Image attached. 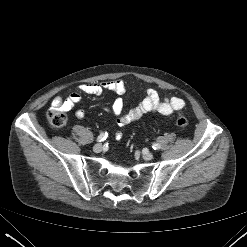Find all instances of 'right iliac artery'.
Masks as SVG:
<instances>
[{
    "instance_id": "obj_1",
    "label": "right iliac artery",
    "mask_w": 247,
    "mask_h": 247,
    "mask_svg": "<svg viewBox=\"0 0 247 247\" xmlns=\"http://www.w3.org/2000/svg\"><path fill=\"white\" fill-rule=\"evenodd\" d=\"M106 138H107V132L101 133V134L98 136L97 141H98V142H102V141H104Z\"/></svg>"
}]
</instances>
